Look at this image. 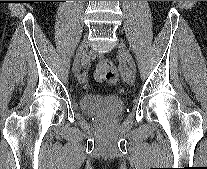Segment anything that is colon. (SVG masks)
Instances as JSON below:
<instances>
[{
  "label": "colon",
  "instance_id": "colon-1",
  "mask_svg": "<svg viewBox=\"0 0 207 169\" xmlns=\"http://www.w3.org/2000/svg\"><path fill=\"white\" fill-rule=\"evenodd\" d=\"M94 77L99 82L109 85H117L119 83V74L114 63L105 57H101L95 68Z\"/></svg>",
  "mask_w": 207,
  "mask_h": 169
}]
</instances>
